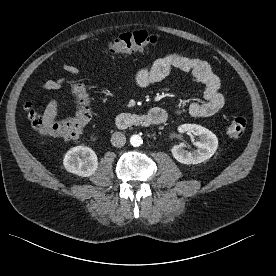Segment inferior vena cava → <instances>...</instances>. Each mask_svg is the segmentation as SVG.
I'll list each match as a JSON object with an SVG mask.
<instances>
[{
	"label": "inferior vena cava",
	"mask_w": 276,
	"mask_h": 276,
	"mask_svg": "<svg viewBox=\"0 0 276 276\" xmlns=\"http://www.w3.org/2000/svg\"><path fill=\"white\" fill-rule=\"evenodd\" d=\"M111 143L113 146L120 148L125 145L126 143V137L121 132H115L111 136Z\"/></svg>",
	"instance_id": "602c4592"
}]
</instances>
